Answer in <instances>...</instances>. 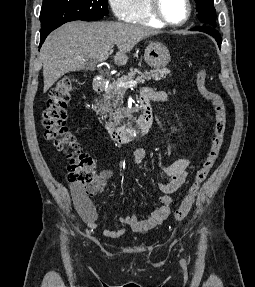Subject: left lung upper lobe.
Listing matches in <instances>:
<instances>
[{
	"label": "left lung upper lobe",
	"instance_id": "obj_1",
	"mask_svg": "<svg viewBox=\"0 0 255 287\" xmlns=\"http://www.w3.org/2000/svg\"><path fill=\"white\" fill-rule=\"evenodd\" d=\"M197 4V17L205 24L216 27V11L213 6L214 0H195Z\"/></svg>",
	"mask_w": 255,
	"mask_h": 287
}]
</instances>
